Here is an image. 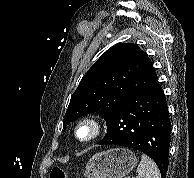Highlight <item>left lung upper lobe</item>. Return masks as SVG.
<instances>
[{
  "mask_svg": "<svg viewBox=\"0 0 194 178\" xmlns=\"http://www.w3.org/2000/svg\"><path fill=\"white\" fill-rule=\"evenodd\" d=\"M157 79L148 55L137 45L116 44L83 76L71 96L63 119L64 127L93 112H99L107 120L119 104Z\"/></svg>",
  "mask_w": 194,
  "mask_h": 178,
  "instance_id": "obj_1",
  "label": "left lung upper lobe"
}]
</instances>
